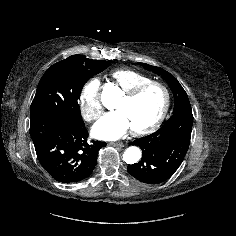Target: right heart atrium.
Instances as JSON below:
<instances>
[{
	"instance_id": "right-heart-atrium-1",
	"label": "right heart atrium",
	"mask_w": 236,
	"mask_h": 236,
	"mask_svg": "<svg viewBox=\"0 0 236 236\" xmlns=\"http://www.w3.org/2000/svg\"><path fill=\"white\" fill-rule=\"evenodd\" d=\"M100 88V81L97 78H93L83 86L80 92L79 107L81 115L88 122L95 121L103 112Z\"/></svg>"
}]
</instances>
